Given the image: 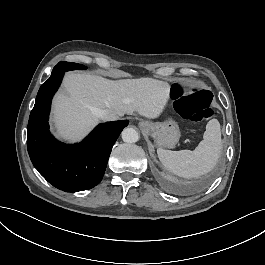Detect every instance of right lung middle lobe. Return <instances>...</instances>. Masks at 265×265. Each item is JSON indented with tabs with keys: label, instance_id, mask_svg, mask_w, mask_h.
<instances>
[{
	"label": "right lung middle lobe",
	"instance_id": "1",
	"mask_svg": "<svg viewBox=\"0 0 265 265\" xmlns=\"http://www.w3.org/2000/svg\"><path fill=\"white\" fill-rule=\"evenodd\" d=\"M87 67L77 64V63H71V62H59L53 69V72L58 71V69H63V71H69L73 69H86Z\"/></svg>",
	"mask_w": 265,
	"mask_h": 265
}]
</instances>
